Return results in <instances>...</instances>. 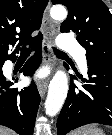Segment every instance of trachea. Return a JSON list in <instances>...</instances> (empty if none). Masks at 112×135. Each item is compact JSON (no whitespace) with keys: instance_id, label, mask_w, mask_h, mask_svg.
<instances>
[{"instance_id":"1","label":"trachea","mask_w":112,"mask_h":135,"mask_svg":"<svg viewBox=\"0 0 112 135\" xmlns=\"http://www.w3.org/2000/svg\"><path fill=\"white\" fill-rule=\"evenodd\" d=\"M53 50H54V52L56 54H65L64 52H62V51H60V50H58L56 48H53ZM30 53H31V50L29 48H27V47H22L21 48V55H28Z\"/></svg>"}]
</instances>
